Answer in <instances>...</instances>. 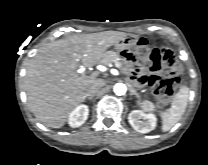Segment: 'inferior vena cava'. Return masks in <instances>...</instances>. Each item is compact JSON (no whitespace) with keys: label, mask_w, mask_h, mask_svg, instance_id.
I'll list each match as a JSON object with an SVG mask.
<instances>
[{"label":"inferior vena cava","mask_w":208,"mask_h":165,"mask_svg":"<svg viewBox=\"0 0 208 165\" xmlns=\"http://www.w3.org/2000/svg\"><path fill=\"white\" fill-rule=\"evenodd\" d=\"M103 85L104 82L101 79L95 80L89 85L87 89L88 94H95L99 89L103 87Z\"/></svg>","instance_id":"602c4592"}]
</instances>
